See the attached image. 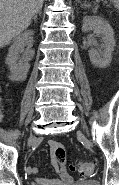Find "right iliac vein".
Wrapping results in <instances>:
<instances>
[{
    "instance_id": "1",
    "label": "right iliac vein",
    "mask_w": 119,
    "mask_h": 185,
    "mask_svg": "<svg viewBox=\"0 0 119 185\" xmlns=\"http://www.w3.org/2000/svg\"><path fill=\"white\" fill-rule=\"evenodd\" d=\"M33 141H34V135H31V136L29 137V144H31Z\"/></svg>"
}]
</instances>
